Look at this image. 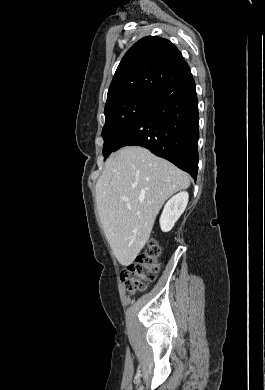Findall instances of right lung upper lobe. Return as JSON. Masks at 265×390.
<instances>
[{
	"label": "right lung upper lobe",
	"instance_id": "1",
	"mask_svg": "<svg viewBox=\"0 0 265 390\" xmlns=\"http://www.w3.org/2000/svg\"><path fill=\"white\" fill-rule=\"evenodd\" d=\"M189 72L188 64L172 42L158 36L144 37L118 65L105 107L137 94L156 97Z\"/></svg>",
	"mask_w": 265,
	"mask_h": 390
}]
</instances>
